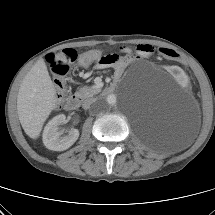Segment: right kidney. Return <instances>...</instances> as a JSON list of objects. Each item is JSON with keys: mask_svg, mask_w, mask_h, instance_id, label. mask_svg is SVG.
Listing matches in <instances>:
<instances>
[{"mask_svg": "<svg viewBox=\"0 0 215 215\" xmlns=\"http://www.w3.org/2000/svg\"><path fill=\"white\" fill-rule=\"evenodd\" d=\"M66 122V116L60 114L55 116L45 126L43 131V143L49 150L64 151L71 147L79 137L77 129H71L66 136H61L59 125Z\"/></svg>", "mask_w": 215, "mask_h": 215, "instance_id": "ca27d5eb", "label": "right kidney"}]
</instances>
